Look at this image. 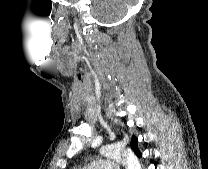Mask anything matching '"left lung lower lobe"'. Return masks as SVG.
<instances>
[{"label":"left lung lower lobe","mask_w":208,"mask_h":169,"mask_svg":"<svg viewBox=\"0 0 208 169\" xmlns=\"http://www.w3.org/2000/svg\"><path fill=\"white\" fill-rule=\"evenodd\" d=\"M137 156H138V157H141V156H142L141 152H138V153H137Z\"/></svg>","instance_id":"obj_1"}]
</instances>
